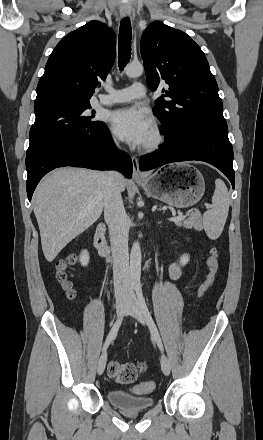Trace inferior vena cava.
Returning <instances> with one entry per match:
<instances>
[{
  "label": "inferior vena cava",
  "instance_id": "602c4592",
  "mask_svg": "<svg viewBox=\"0 0 263 440\" xmlns=\"http://www.w3.org/2000/svg\"><path fill=\"white\" fill-rule=\"evenodd\" d=\"M117 143V142H116ZM107 174V187L104 195V219L109 227L113 257V279L116 300H124L131 295L128 253V225L116 171Z\"/></svg>",
  "mask_w": 263,
  "mask_h": 440
}]
</instances>
